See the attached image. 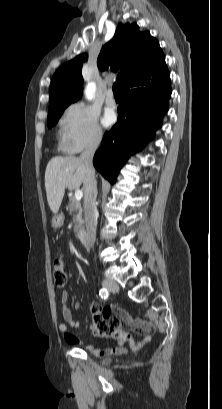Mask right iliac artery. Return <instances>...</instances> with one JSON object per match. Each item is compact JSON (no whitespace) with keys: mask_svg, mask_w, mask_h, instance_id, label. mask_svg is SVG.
<instances>
[{"mask_svg":"<svg viewBox=\"0 0 222 409\" xmlns=\"http://www.w3.org/2000/svg\"><path fill=\"white\" fill-rule=\"evenodd\" d=\"M108 295H109V292L107 291V289H105V288L100 289L99 296L102 299H106L108 297Z\"/></svg>","mask_w":222,"mask_h":409,"instance_id":"obj_1","label":"right iliac artery"}]
</instances>
